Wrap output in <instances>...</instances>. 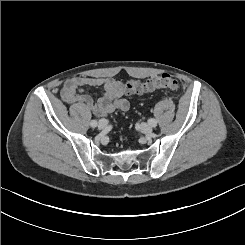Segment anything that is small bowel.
<instances>
[{"label":"small bowel","mask_w":245,"mask_h":245,"mask_svg":"<svg viewBox=\"0 0 245 245\" xmlns=\"http://www.w3.org/2000/svg\"><path fill=\"white\" fill-rule=\"evenodd\" d=\"M85 88H103L104 94L94 101L84 92ZM126 94L124 84L111 77H74L61 90L62 99L72 106L71 113L80 124H85L92 115L105 117L115 110L127 111L130 104Z\"/></svg>","instance_id":"c3829d8e"}]
</instances>
